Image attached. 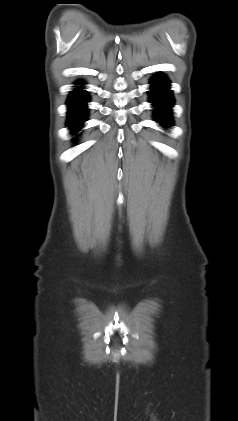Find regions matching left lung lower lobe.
<instances>
[{"instance_id": "1", "label": "left lung lower lobe", "mask_w": 238, "mask_h": 421, "mask_svg": "<svg viewBox=\"0 0 238 421\" xmlns=\"http://www.w3.org/2000/svg\"><path fill=\"white\" fill-rule=\"evenodd\" d=\"M168 83L169 81L163 75H157L151 82L152 90L150 91V100L156 107L158 122L164 125L171 124L170 107L173 104Z\"/></svg>"}]
</instances>
